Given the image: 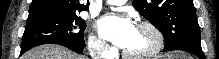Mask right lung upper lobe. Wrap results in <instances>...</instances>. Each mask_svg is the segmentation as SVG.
Returning a JSON list of instances; mask_svg holds the SVG:
<instances>
[{"instance_id": "1", "label": "right lung upper lobe", "mask_w": 219, "mask_h": 59, "mask_svg": "<svg viewBox=\"0 0 219 59\" xmlns=\"http://www.w3.org/2000/svg\"><path fill=\"white\" fill-rule=\"evenodd\" d=\"M87 5L80 4L79 0H32L29 12L48 11L60 14H76L88 9Z\"/></svg>"}]
</instances>
